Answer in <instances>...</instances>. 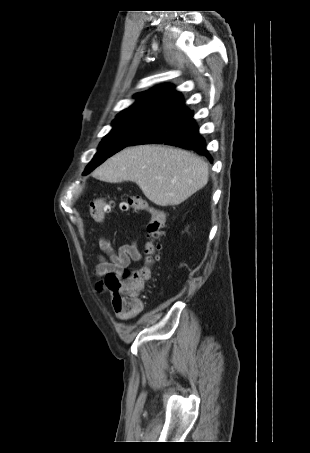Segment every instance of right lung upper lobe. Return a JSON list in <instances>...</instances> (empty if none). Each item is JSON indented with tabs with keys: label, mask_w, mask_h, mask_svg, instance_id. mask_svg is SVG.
<instances>
[{
	"label": "right lung upper lobe",
	"mask_w": 310,
	"mask_h": 453,
	"mask_svg": "<svg viewBox=\"0 0 310 453\" xmlns=\"http://www.w3.org/2000/svg\"><path fill=\"white\" fill-rule=\"evenodd\" d=\"M136 102L123 110L117 117L148 116L158 118L176 103L183 100L180 92L169 84L156 86L148 91L136 94Z\"/></svg>",
	"instance_id": "cb5924a9"
}]
</instances>
